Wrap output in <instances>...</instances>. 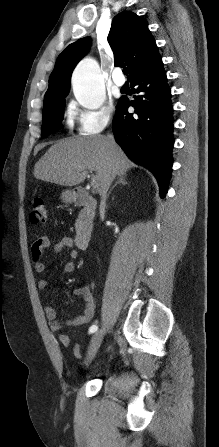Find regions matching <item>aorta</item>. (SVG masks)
<instances>
[{
  "label": "aorta",
  "mask_w": 219,
  "mask_h": 447,
  "mask_svg": "<svg viewBox=\"0 0 219 447\" xmlns=\"http://www.w3.org/2000/svg\"><path fill=\"white\" fill-rule=\"evenodd\" d=\"M72 86L78 103L87 109H99L105 101L100 68L93 58H85L76 66Z\"/></svg>",
  "instance_id": "aorta-1"
}]
</instances>
